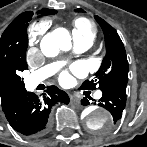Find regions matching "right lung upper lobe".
<instances>
[{"mask_svg": "<svg viewBox=\"0 0 147 147\" xmlns=\"http://www.w3.org/2000/svg\"><path fill=\"white\" fill-rule=\"evenodd\" d=\"M57 11L43 8L41 16L52 15ZM33 12L28 11L17 16L6 28L0 39V96L2 107L22 98L26 89L20 71L27 69L26 49L28 38L22 35L21 29L32 19Z\"/></svg>", "mask_w": 147, "mask_h": 147, "instance_id": "obj_1", "label": "right lung upper lobe"}]
</instances>
